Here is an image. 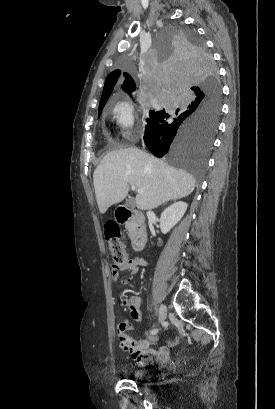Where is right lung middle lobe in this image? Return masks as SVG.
Listing matches in <instances>:
<instances>
[{
    "label": "right lung middle lobe",
    "instance_id": "obj_1",
    "mask_svg": "<svg viewBox=\"0 0 275 409\" xmlns=\"http://www.w3.org/2000/svg\"><path fill=\"white\" fill-rule=\"evenodd\" d=\"M192 30V24H169L168 30H156L151 36L152 51H170V57H161L162 70H153L147 89L194 91L180 96H141L139 102L148 110H158L150 111L146 120L148 149L160 162L183 168L184 173L206 182L203 171L218 129L221 85L205 42ZM131 56L120 57L115 73H135L134 59L149 58L151 53L133 50Z\"/></svg>",
    "mask_w": 275,
    "mask_h": 409
}]
</instances>
